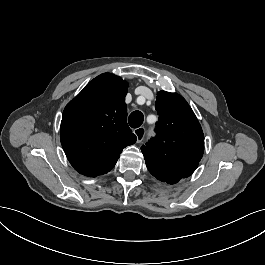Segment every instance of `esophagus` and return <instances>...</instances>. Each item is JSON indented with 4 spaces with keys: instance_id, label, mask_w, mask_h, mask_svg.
I'll return each mask as SVG.
<instances>
[{
    "instance_id": "1",
    "label": "esophagus",
    "mask_w": 265,
    "mask_h": 265,
    "mask_svg": "<svg viewBox=\"0 0 265 265\" xmlns=\"http://www.w3.org/2000/svg\"><path fill=\"white\" fill-rule=\"evenodd\" d=\"M133 132H134V134L137 137V142L138 143H140L144 139V137L146 135V129L144 127L136 128V129H134Z\"/></svg>"
}]
</instances>
